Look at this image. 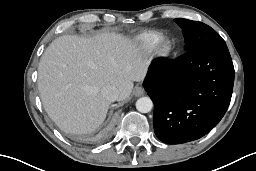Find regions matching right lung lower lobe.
Returning a JSON list of instances; mask_svg holds the SVG:
<instances>
[{
  "mask_svg": "<svg viewBox=\"0 0 256 171\" xmlns=\"http://www.w3.org/2000/svg\"><path fill=\"white\" fill-rule=\"evenodd\" d=\"M114 125V116L110 118L108 123L104 126V128L97 134V139L103 140L106 139L110 134L113 129Z\"/></svg>",
  "mask_w": 256,
  "mask_h": 171,
  "instance_id": "1",
  "label": "right lung lower lobe"
}]
</instances>
